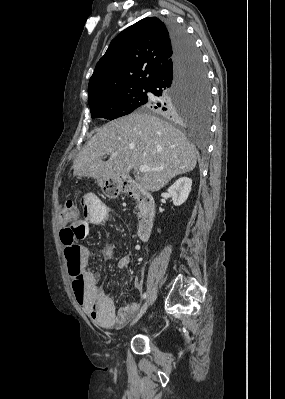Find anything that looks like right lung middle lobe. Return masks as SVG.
<instances>
[{"label":"right lung middle lobe","instance_id":"1","mask_svg":"<svg viewBox=\"0 0 285 399\" xmlns=\"http://www.w3.org/2000/svg\"><path fill=\"white\" fill-rule=\"evenodd\" d=\"M147 92H150V87L124 90L89 100L91 117L113 120L130 114L141 106L157 109L158 112L167 115H182L185 112L189 114L195 112L204 118L209 115L210 88L207 73L197 49L180 81L171 89L169 94L161 97L163 100L172 101V110L167 111L162 105L163 101L157 102L155 98L148 96Z\"/></svg>","mask_w":285,"mask_h":399}]
</instances>
